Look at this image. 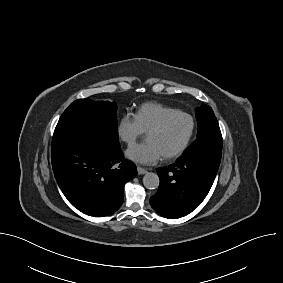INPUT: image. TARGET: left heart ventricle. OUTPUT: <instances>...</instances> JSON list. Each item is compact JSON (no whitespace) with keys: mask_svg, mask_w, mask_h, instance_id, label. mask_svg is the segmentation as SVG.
<instances>
[{"mask_svg":"<svg viewBox=\"0 0 283 283\" xmlns=\"http://www.w3.org/2000/svg\"><path fill=\"white\" fill-rule=\"evenodd\" d=\"M189 131V119L178 116L173 118L162 131L149 134L147 141L154 143L160 149L162 155L169 154L183 144Z\"/></svg>","mask_w":283,"mask_h":283,"instance_id":"b2bd125f","label":"left heart ventricle"}]
</instances>
